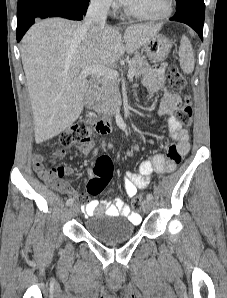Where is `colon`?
Segmentation results:
<instances>
[{
    "label": "colon",
    "mask_w": 227,
    "mask_h": 298,
    "mask_svg": "<svg viewBox=\"0 0 227 298\" xmlns=\"http://www.w3.org/2000/svg\"><path fill=\"white\" fill-rule=\"evenodd\" d=\"M168 80L171 87L175 90H183L185 88V78L179 71L177 66L172 65L168 68ZM185 106L177 114V119L182 125H190L193 118V109L189 96L184 97ZM93 134L92 128L84 122H79L63 131L58 137L56 144L64 150L73 145L84 144L88 142ZM113 176V163L107 156L100 157L95 165L93 175L87 183L88 193L91 195L101 194ZM143 196L137 195L133 198V207L135 212H140V206Z\"/></svg>",
    "instance_id": "1"
}]
</instances>
